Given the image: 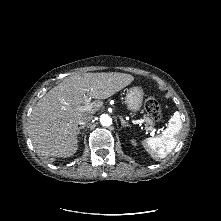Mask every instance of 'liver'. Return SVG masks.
<instances>
[{
    "label": "liver",
    "instance_id": "6515ba94",
    "mask_svg": "<svg viewBox=\"0 0 221 221\" xmlns=\"http://www.w3.org/2000/svg\"><path fill=\"white\" fill-rule=\"evenodd\" d=\"M130 74L86 73L73 75L47 92L34 107L29 131L33 145L44 156L70 157L78 149V120L95 113L107 99L128 86ZM95 99L90 111L81 110L85 97Z\"/></svg>",
    "mask_w": 221,
    "mask_h": 221
}]
</instances>
